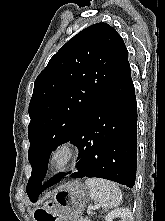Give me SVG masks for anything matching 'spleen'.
<instances>
[{"mask_svg": "<svg viewBox=\"0 0 165 221\" xmlns=\"http://www.w3.org/2000/svg\"><path fill=\"white\" fill-rule=\"evenodd\" d=\"M85 184L90 190L91 198L97 201L103 210L108 211L121 204L122 193L114 182L100 178H88Z\"/></svg>", "mask_w": 165, "mask_h": 221, "instance_id": "1", "label": "spleen"}]
</instances>
